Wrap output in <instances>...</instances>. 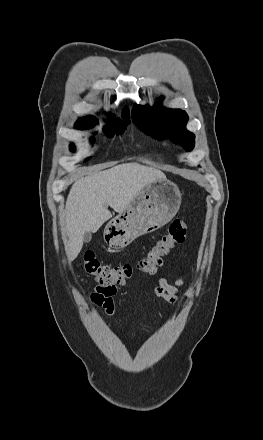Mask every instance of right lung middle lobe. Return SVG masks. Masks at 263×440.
I'll return each mask as SVG.
<instances>
[{
    "instance_id": "right-lung-middle-lobe-1",
    "label": "right lung middle lobe",
    "mask_w": 263,
    "mask_h": 440,
    "mask_svg": "<svg viewBox=\"0 0 263 440\" xmlns=\"http://www.w3.org/2000/svg\"><path fill=\"white\" fill-rule=\"evenodd\" d=\"M124 119H125V121H122L120 119L110 118L108 121L110 122V124H112V126L107 125L104 130L107 132V134L109 136L113 135L112 129L115 131V133L121 134L124 131L125 125L130 123L128 118H124ZM96 123H97V120L91 122L86 128H90V127H92ZM81 129H85V128H81ZM91 142H94V138L93 137L91 138ZM70 149H71V151H74L75 148H74L73 145H71ZM87 160H89V158L86 159L85 161H87Z\"/></svg>"
}]
</instances>
